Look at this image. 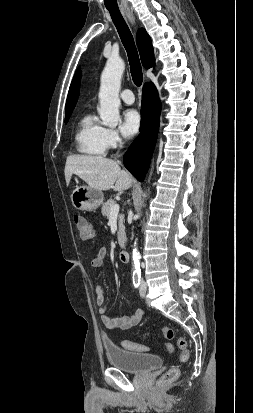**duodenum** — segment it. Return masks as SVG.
Instances as JSON below:
<instances>
[{
    "instance_id": "410a0bca",
    "label": "duodenum",
    "mask_w": 253,
    "mask_h": 413,
    "mask_svg": "<svg viewBox=\"0 0 253 413\" xmlns=\"http://www.w3.org/2000/svg\"><path fill=\"white\" fill-rule=\"evenodd\" d=\"M130 254L126 247H123L119 253V259L123 263H127L129 261Z\"/></svg>"
}]
</instances>
